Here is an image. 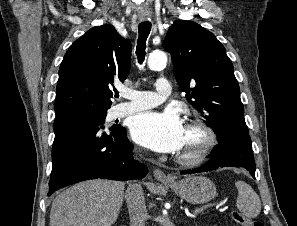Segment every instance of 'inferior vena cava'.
<instances>
[{"label":"inferior vena cava","instance_id":"inferior-vena-cava-1","mask_svg":"<svg viewBox=\"0 0 297 226\" xmlns=\"http://www.w3.org/2000/svg\"><path fill=\"white\" fill-rule=\"evenodd\" d=\"M130 217V226H145L148 217L142 187L130 185L125 192Z\"/></svg>","mask_w":297,"mask_h":226}]
</instances>
